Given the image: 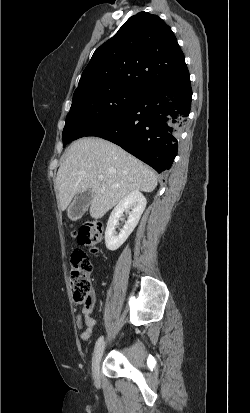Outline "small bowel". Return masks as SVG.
Listing matches in <instances>:
<instances>
[{"mask_svg": "<svg viewBox=\"0 0 250 413\" xmlns=\"http://www.w3.org/2000/svg\"><path fill=\"white\" fill-rule=\"evenodd\" d=\"M93 306L94 302L89 307H83L82 312L77 316L78 326L86 327L80 335L81 339L85 342H87L90 339L92 332L96 326V320L90 317V313L92 312Z\"/></svg>", "mask_w": 250, "mask_h": 413, "instance_id": "c3829d8e", "label": "small bowel"}]
</instances>
